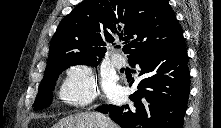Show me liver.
Segmentation results:
<instances>
[{"mask_svg": "<svg viewBox=\"0 0 221 128\" xmlns=\"http://www.w3.org/2000/svg\"><path fill=\"white\" fill-rule=\"evenodd\" d=\"M109 128H119L118 125L108 120ZM53 128H99L96 114L90 112L77 113L60 119Z\"/></svg>", "mask_w": 221, "mask_h": 128, "instance_id": "obj_1", "label": "liver"}]
</instances>
